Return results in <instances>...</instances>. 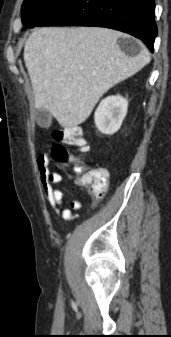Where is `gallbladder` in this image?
I'll return each instance as SVG.
<instances>
[{"instance_id": "bac80fb5", "label": "gallbladder", "mask_w": 171, "mask_h": 337, "mask_svg": "<svg viewBox=\"0 0 171 337\" xmlns=\"http://www.w3.org/2000/svg\"><path fill=\"white\" fill-rule=\"evenodd\" d=\"M37 123L41 127H48L51 123V114L44 109H38V111H37Z\"/></svg>"}]
</instances>
